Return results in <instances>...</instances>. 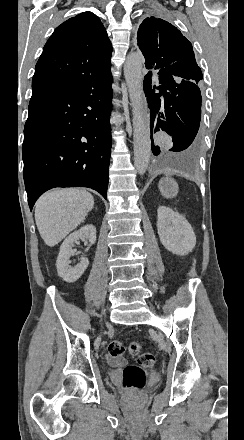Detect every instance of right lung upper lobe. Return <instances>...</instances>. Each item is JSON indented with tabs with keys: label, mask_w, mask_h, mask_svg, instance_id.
Segmentation results:
<instances>
[{
	"label": "right lung upper lobe",
	"mask_w": 244,
	"mask_h": 440,
	"mask_svg": "<svg viewBox=\"0 0 244 440\" xmlns=\"http://www.w3.org/2000/svg\"><path fill=\"white\" fill-rule=\"evenodd\" d=\"M112 46L100 19L83 12L58 26L36 64L32 90L110 69Z\"/></svg>",
	"instance_id": "1"
}]
</instances>
